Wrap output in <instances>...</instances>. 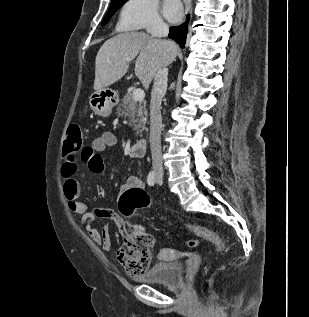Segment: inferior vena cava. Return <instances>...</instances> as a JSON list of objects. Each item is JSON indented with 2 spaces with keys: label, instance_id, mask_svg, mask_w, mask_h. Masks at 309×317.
Here are the masks:
<instances>
[{
  "label": "inferior vena cava",
  "instance_id": "inferior-vena-cava-1",
  "mask_svg": "<svg viewBox=\"0 0 309 317\" xmlns=\"http://www.w3.org/2000/svg\"><path fill=\"white\" fill-rule=\"evenodd\" d=\"M148 32L151 33L152 37H166L169 32V27L164 22L156 20L152 23L151 27L148 29ZM163 41L165 46L170 45L167 40ZM167 76V65H160L154 77L150 101V149L152 155V166L157 172L163 171L161 151V102L167 90Z\"/></svg>",
  "mask_w": 309,
  "mask_h": 317
}]
</instances>
